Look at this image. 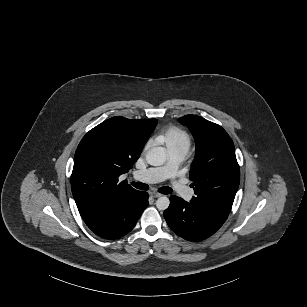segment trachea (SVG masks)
Wrapping results in <instances>:
<instances>
[{
	"label": "trachea",
	"mask_w": 307,
	"mask_h": 307,
	"mask_svg": "<svg viewBox=\"0 0 307 307\" xmlns=\"http://www.w3.org/2000/svg\"><path fill=\"white\" fill-rule=\"evenodd\" d=\"M134 187H136L137 189H141V190H148L149 186L145 183H141V182H132L131 183ZM160 193L162 194H170L173 192V189L166 186V187H161L158 190Z\"/></svg>",
	"instance_id": "obj_1"
}]
</instances>
